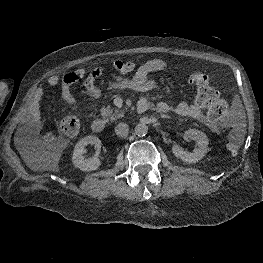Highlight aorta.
I'll list each match as a JSON object with an SVG mask.
<instances>
[{
	"label": "aorta",
	"mask_w": 263,
	"mask_h": 263,
	"mask_svg": "<svg viewBox=\"0 0 263 263\" xmlns=\"http://www.w3.org/2000/svg\"><path fill=\"white\" fill-rule=\"evenodd\" d=\"M134 131L137 136H145L148 133V127L144 123H139L136 125Z\"/></svg>",
	"instance_id": "aorta-1"
}]
</instances>
